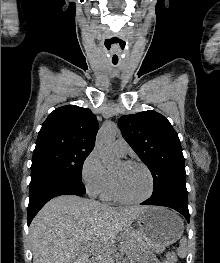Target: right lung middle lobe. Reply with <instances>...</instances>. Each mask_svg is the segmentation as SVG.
<instances>
[{
    "instance_id": "1",
    "label": "right lung middle lobe",
    "mask_w": 220,
    "mask_h": 263,
    "mask_svg": "<svg viewBox=\"0 0 220 263\" xmlns=\"http://www.w3.org/2000/svg\"><path fill=\"white\" fill-rule=\"evenodd\" d=\"M92 150L50 148L33 153L31 175L48 172L81 180L82 165Z\"/></svg>"
}]
</instances>
